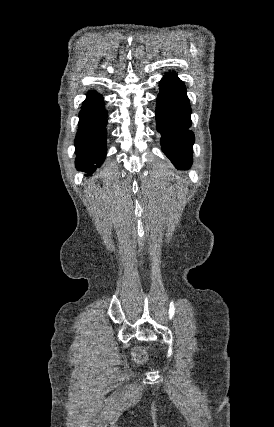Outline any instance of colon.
Listing matches in <instances>:
<instances>
[{
    "label": "colon",
    "instance_id": "5ec220e1",
    "mask_svg": "<svg viewBox=\"0 0 274 427\" xmlns=\"http://www.w3.org/2000/svg\"><path fill=\"white\" fill-rule=\"evenodd\" d=\"M147 357V350L142 347H137L134 349L132 353V359L133 361L141 364L146 360Z\"/></svg>",
    "mask_w": 274,
    "mask_h": 427
}]
</instances>
